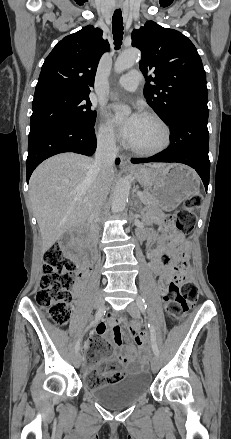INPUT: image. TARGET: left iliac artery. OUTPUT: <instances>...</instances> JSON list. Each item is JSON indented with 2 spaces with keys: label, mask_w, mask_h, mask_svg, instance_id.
Returning a JSON list of instances; mask_svg holds the SVG:
<instances>
[{
  "label": "left iliac artery",
  "mask_w": 231,
  "mask_h": 439,
  "mask_svg": "<svg viewBox=\"0 0 231 439\" xmlns=\"http://www.w3.org/2000/svg\"><path fill=\"white\" fill-rule=\"evenodd\" d=\"M137 304L142 311L146 310L147 304L142 297L139 296L137 298ZM148 327L150 328L152 350H153L155 356L158 357L159 356V349H158L157 342H156L155 331L149 323H148Z\"/></svg>",
  "instance_id": "1"
}]
</instances>
